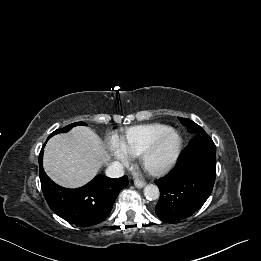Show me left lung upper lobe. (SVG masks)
I'll return each mask as SVG.
<instances>
[{
    "instance_id": "obj_1",
    "label": "left lung upper lobe",
    "mask_w": 261,
    "mask_h": 261,
    "mask_svg": "<svg viewBox=\"0 0 261 261\" xmlns=\"http://www.w3.org/2000/svg\"><path fill=\"white\" fill-rule=\"evenodd\" d=\"M180 122L187 128V130L190 133L196 134L198 132L204 131L203 128H201L199 125H197L195 122L187 119V118H180Z\"/></svg>"
}]
</instances>
